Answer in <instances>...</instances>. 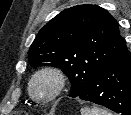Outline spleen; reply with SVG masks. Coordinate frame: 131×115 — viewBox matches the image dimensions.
Returning <instances> with one entry per match:
<instances>
[{
  "label": "spleen",
  "instance_id": "obj_1",
  "mask_svg": "<svg viewBox=\"0 0 131 115\" xmlns=\"http://www.w3.org/2000/svg\"><path fill=\"white\" fill-rule=\"evenodd\" d=\"M81 115H112L110 112L100 108H81Z\"/></svg>",
  "mask_w": 131,
  "mask_h": 115
}]
</instances>
